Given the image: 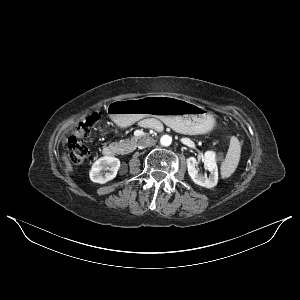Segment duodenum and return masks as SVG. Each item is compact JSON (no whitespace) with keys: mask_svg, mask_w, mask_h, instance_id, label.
Instances as JSON below:
<instances>
[{"mask_svg":"<svg viewBox=\"0 0 300 300\" xmlns=\"http://www.w3.org/2000/svg\"><path fill=\"white\" fill-rule=\"evenodd\" d=\"M116 152H117V148L113 145H106L103 147L102 150L103 155L109 158L115 157Z\"/></svg>","mask_w":300,"mask_h":300,"instance_id":"duodenum-1","label":"duodenum"}]
</instances>
